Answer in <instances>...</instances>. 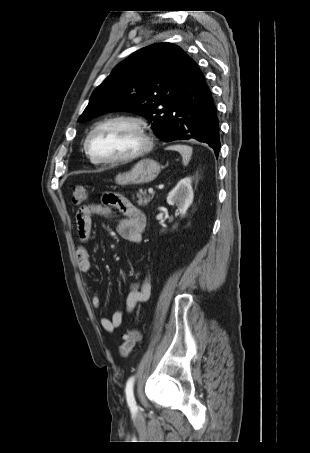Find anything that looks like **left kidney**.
I'll return each mask as SVG.
<instances>
[{"label": "left kidney", "mask_w": 310, "mask_h": 453, "mask_svg": "<svg viewBox=\"0 0 310 453\" xmlns=\"http://www.w3.org/2000/svg\"><path fill=\"white\" fill-rule=\"evenodd\" d=\"M191 183L190 177L180 180L167 196V203L172 206L176 205L181 216L186 214L193 202L194 193Z\"/></svg>", "instance_id": "left-kidney-1"}]
</instances>
